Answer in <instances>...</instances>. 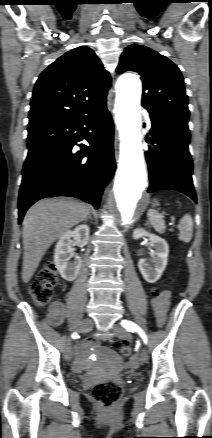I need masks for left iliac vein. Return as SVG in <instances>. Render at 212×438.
Wrapping results in <instances>:
<instances>
[{
	"label": "left iliac vein",
	"instance_id": "4c4485c4",
	"mask_svg": "<svg viewBox=\"0 0 212 438\" xmlns=\"http://www.w3.org/2000/svg\"><path fill=\"white\" fill-rule=\"evenodd\" d=\"M115 332L117 333L118 338L122 339V340H129L130 339V334L123 328L120 327H115ZM140 361L141 362H146L147 361V350L143 349L139 355Z\"/></svg>",
	"mask_w": 212,
	"mask_h": 438
}]
</instances>
